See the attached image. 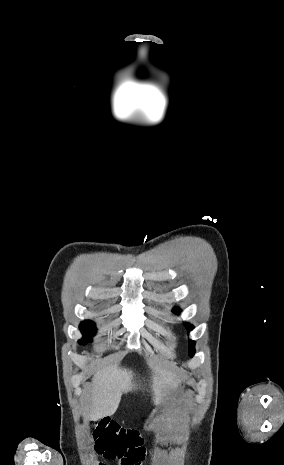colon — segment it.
Returning a JSON list of instances; mask_svg holds the SVG:
<instances>
[{"instance_id":"obj_1","label":"colon","mask_w":284,"mask_h":465,"mask_svg":"<svg viewBox=\"0 0 284 465\" xmlns=\"http://www.w3.org/2000/svg\"><path fill=\"white\" fill-rule=\"evenodd\" d=\"M92 448L104 459H122L121 465H140L147 454L139 431L123 428L117 422H108L94 434ZM95 464L101 465L98 461Z\"/></svg>"}]
</instances>
